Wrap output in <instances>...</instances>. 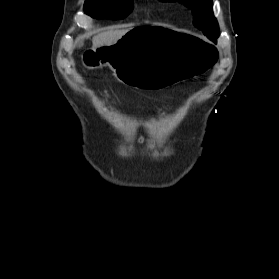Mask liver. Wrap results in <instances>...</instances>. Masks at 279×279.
<instances>
[{"instance_id":"liver-1","label":"liver","mask_w":279,"mask_h":279,"mask_svg":"<svg viewBox=\"0 0 279 279\" xmlns=\"http://www.w3.org/2000/svg\"><path fill=\"white\" fill-rule=\"evenodd\" d=\"M128 32L129 29H123L100 33L94 36L92 39L93 49L95 50L102 46L112 45ZM80 46H82V43L80 44Z\"/></svg>"}]
</instances>
